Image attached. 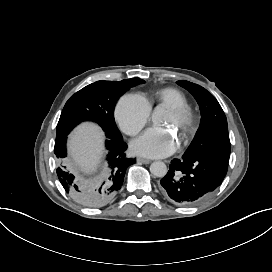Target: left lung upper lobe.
I'll list each match as a JSON object with an SVG mask.
<instances>
[{"instance_id": "obj_1", "label": "left lung upper lobe", "mask_w": 272, "mask_h": 272, "mask_svg": "<svg viewBox=\"0 0 272 272\" xmlns=\"http://www.w3.org/2000/svg\"><path fill=\"white\" fill-rule=\"evenodd\" d=\"M177 84L194 96L202 116L200 127L183 156H214L229 161L231 145L227 119L216 98L197 84L185 80Z\"/></svg>"}]
</instances>
